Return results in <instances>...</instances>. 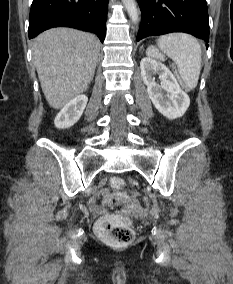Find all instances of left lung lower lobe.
<instances>
[{
  "label": "left lung lower lobe",
  "mask_w": 233,
  "mask_h": 284,
  "mask_svg": "<svg viewBox=\"0 0 233 284\" xmlns=\"http://www.w3.org/2000/svg\"><path fill=\"white\" fill-rule=\"evenodd\" d=\"M137 1L142 15L137 41L170 32H185L209 41L206 0Z\"/></svg>",
  "instance_id": "0a47b994"
}]
</instances>
